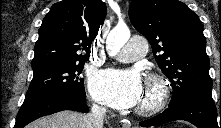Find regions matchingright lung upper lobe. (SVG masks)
<instances>
[{"instance_id":"1","label":"right lung upper lobe","mask_w":221,"mask_h":128,"mask_svg":"<svg viewBox=\"0 0 221 128\" xmlns=\"http://www.w3.org/2000/svg\"><path fill=\"white\" fill-rule=\"evenodd\" d=\"M106 12L101 0H63L54 4L39 29L33 72L87 60Z\"/></svg>"}]
</instances>
